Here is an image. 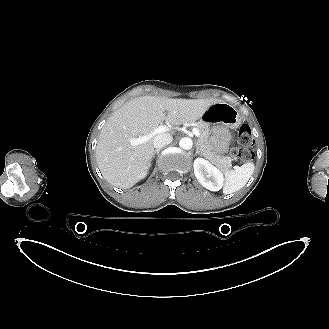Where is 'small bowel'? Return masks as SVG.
<instances>
[{"label": "small bowel", "mask_w": 329, "mask_h": 329, "mask_svg": "<svg viewBox=\"0 0 329 329\" xmlns=\"http://www.w3.org/2000/svg\"><path fill=\"white\" fill-rule=\"evenodd\" d=\"M233 140L232 134L223 129V128H216L214 132V142L216 148L220 152H224L230 146Z\"/></svg>", "instance_id": "small-bowel-1"}]
</instances>
